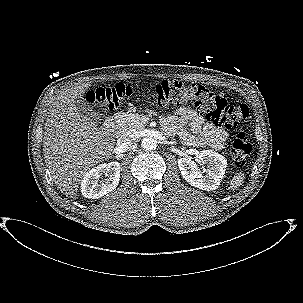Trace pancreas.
<instances>
[{
    "label": "pancreas",
    "instance_id": "obj_1",
    "mask_svg": "<svg viewBox=\"0 0 303 303\" xmlns=\"http://www.w3.org/2000/svg\"><path fill=\"white\" fill-rule=\"evenodd\" d=\"M153 114L149 112V116ZM148 115H142L137 113H120L117 116V133L118 135H124L133 131H140L145 128L146 122L144 121Z\"/></svg>",
    "mask_w": 303,
    "mask_h": 303
}]
</instances>
